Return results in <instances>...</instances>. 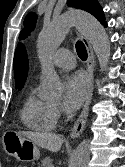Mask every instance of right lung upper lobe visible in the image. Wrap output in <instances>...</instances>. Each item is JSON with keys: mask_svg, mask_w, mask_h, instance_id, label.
<instances>
[{"mask_svg": "<svg viewBox=\"0 0 125 167\" xmlns=\"http://www.w3.org/2000/svg\"><path fill=\"white\" fill-rule=\"evenodd\" d=\"M28 73V58L22 44H18L14 55V76L16 87H23Z\"/></svg>", "mask_w": 125, "mask_h": 167, "instance_id": "right-lung-upper-lobe-1", "label": "right lung upper lobe"}]
</instances>
